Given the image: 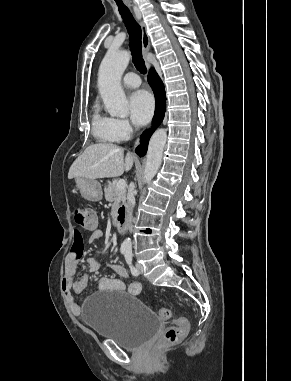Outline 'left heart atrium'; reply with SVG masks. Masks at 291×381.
Returning a JSON list of instances; mask_svg holds the SVG:
<instances>
[{
  "label": "left heart atrium",
  "mask_w": 291,
  "mask_h": 381,
  "mask_svg": "<svg viewBox=\"0 0 291 381\" xmlns=\"http://www.w3.org/2000/svg\"><path fill=\"white\" fill-rule=\"evenodd\" d=\"M129 110L135 124L145 125L151 119L154 111L152 96L144 90L134 92L129 98Z\"/></svg>",
  "instance_id": "obj_1"
}]
</instances>
